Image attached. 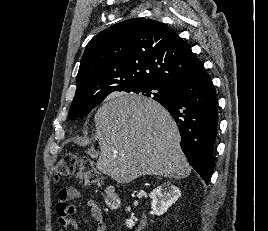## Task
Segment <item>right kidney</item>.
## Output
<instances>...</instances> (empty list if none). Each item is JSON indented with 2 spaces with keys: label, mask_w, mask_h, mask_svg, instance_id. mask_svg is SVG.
<instances>
[{
  "label": "right kidney",
  "mask_w": 268,
  "mask_h": 231,
  "mask_svg": "<svg viewBox=\"0 0 268 231\" xmlns=\"http://www.w3.org/2000/svg\"><path fill=\"white\" fill-rule=\"evenodd\" d=\"M181 196V191L175 185L170 183H164L150 193V198L152 200L151 208L154 214L161 216L168 208L175 203ZM130 211V207L126 209ZM135 222L132 218L126 220V225L129 228L134 226Z\"/></svg>",
  "instance_id": "ca27d5eb"
}]
</instances>
